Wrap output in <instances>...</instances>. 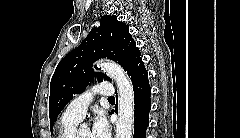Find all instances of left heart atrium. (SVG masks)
Instances as JSON below:
<instances>
[{"label": "left heart atrium", "instance_id": "1", "mask_svg": "<svg viewBox=\"0 0 240 138\" xmlns=\"http://www.w3.org/2000/svg\"><path fill=\"white\" fill-rule=\"evenodd\" d=\"M92 138H108L110 134L109 125L103 115H98L91 129Z\"/></svg>", "mask_w": 240, "mask_h": 138}]
</instances>
